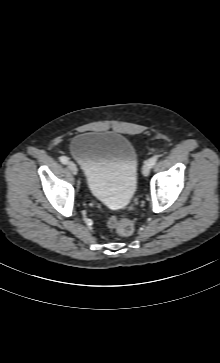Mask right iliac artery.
Here are the masks:
<instances>
[{
    "label": "right iliac artery",
    "mask_w": 220,
    "mask_h": 363,
    "mask_svg": "<svg viewBox=\"0 0 220 363\" xmlns=\"http://www.w3.org/2000/svg\"><path fill=\"white\" fill-rule=\"evenodd\" d=\"M60 161H61L62 164H67L68 163V158L66 156H61Z\"/></svg>",
    "instance_id": "right-iliac-artery-1"
}]
</instances>
